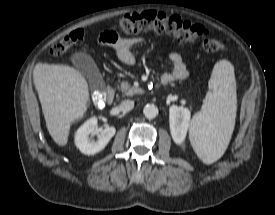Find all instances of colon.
<instances>
[{
    "instance_id": "obj_1",
    "label": "colon",
    "mask_w": 275,
    "mask_h": 215,
    "mask_svg": "<svg viewBox=\"0 0 275 215\" xmlns=\"http://www.w3.org/2000/svg\"><path fill=\"white\" fill-rule=\"evenodd\" d=\"M118 27L124 33L155 31L173 36L183 43L199 42L207 52H220L225 43L210 37L200 24L185 20L177 15H168L158 11L127 13L118 19ZM83 30H75L55 42L50 48V55H64L73 45L82 42Z\"/></svg>"
}]
</instances>
